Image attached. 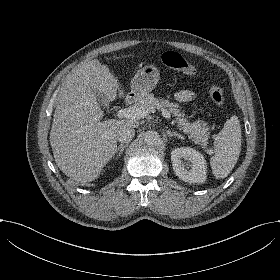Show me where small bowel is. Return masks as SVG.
<instances>
[{
	"label": "small bowel",
	"instance_id": "1",
	"mask_svg": "<svg viewBox=\"0 0 280 280\" xmlns=\"http://www.w3.org/2000/svg\"><path fill=\"white\" fill-rule=\"evenodd\" d=\"M194 98V94L189 90H181L175 93V99L179 102L186 103Z\"/></svg>",
	"mask_w": 280,
	"mask_h": 280
}]
</instances>
